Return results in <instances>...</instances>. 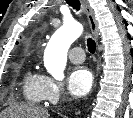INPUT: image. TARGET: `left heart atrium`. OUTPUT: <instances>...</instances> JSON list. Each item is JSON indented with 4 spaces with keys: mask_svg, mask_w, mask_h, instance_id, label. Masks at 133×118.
Listing matches in <instances>:
<instances>
[{
    "mask_svg": "<svg viewBox=\"0 0 133 118\" xmlns=\"http://www.w3.org/2000/svg\"><path fill=\"white\" fill-rule=\"evenodd\" d=\"M92 73L85 67H76L68 78V88L76 97L85 96L92 88Z\"/></svg>",
    "mask_w": 133,
    "mask_h": 118,
    "instance_id": "1",
    "label": "left heart atrium"
}]
</instances>
